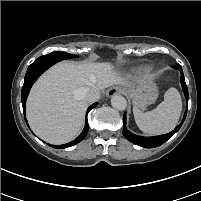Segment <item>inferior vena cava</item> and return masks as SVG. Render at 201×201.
I'll return each instance as SVG.
<instances>
[{
  "mask_svg": "<svg viewBox=\"0 0 201 201\" xmlns=\"http://www.w3.org/2000/svg\"><path fill=\"white\" fill-rule=\"evenodd\" d=\"M100 97V91L97 88L87 87L84 89V98L88 102H94Z\"/></svg>",
  "mask_w": 201,
  "mask_h": 201,
  "instance_id": "inferior-vena-cava-1",
  "label": "inferior vena cava"
}]
</instances>
